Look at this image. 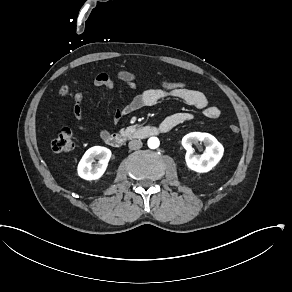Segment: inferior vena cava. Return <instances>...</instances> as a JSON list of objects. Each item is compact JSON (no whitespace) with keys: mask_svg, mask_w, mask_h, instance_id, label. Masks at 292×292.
<instances>
[{"mask_svg":"<svg viewBox=\"0 0 292 292\" xmlns=\"http://www.w3.org/2000/svg\"><path fill=\"white\" fill-rule=\"evenodd\" d=\"M129 149L138 150L142 147V142L139 140H132L128 144Z\"/></svg>","mask_w":292,"mask_h":292,"instance_id":"602c4592","label":"inferior vena cava"}]
</instances>
